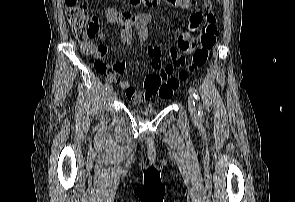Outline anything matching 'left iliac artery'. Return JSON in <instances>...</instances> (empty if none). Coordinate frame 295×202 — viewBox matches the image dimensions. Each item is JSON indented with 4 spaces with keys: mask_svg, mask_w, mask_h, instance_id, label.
<instances>
[{
    "mask_svg": "<svg viewBox=\"0 0 295 202\" xmlns=\"http://www.w3.org/2000/svg\"><path fill=\"white\" fill-rule=\"evenodd\" d=\"M189 92L194 96V98L197 101H199L200 97H199L198 91L194 87H190ZM198 117L200 120H203V118H204V114H203L201 106H199Z\"/></svg>",
    "mask_w": 295,
    "mask_h": 202,
    "instance_id": "left-iliac-artery-1",
    "label": "left iliac artery"
}]
</instances>
